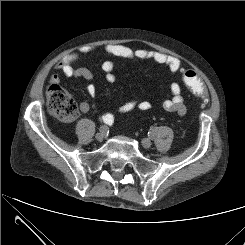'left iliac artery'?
Instances as JSON below:
<instances>
[{"label":"left iliac artery","instance_id":"obj_1","mask_svg":"<svg viewBox=\"0 0 245 245\" xmlns=\"http://www.w3.org/2000/svg\"><path fill=\"white\" fill-rule=\"evenodd\" d=\"M155 132L156 131L154 129H152L148 134L150 137H154Z\"/></svg>","mask_w":245,"mask_h":245}]
</instances>
